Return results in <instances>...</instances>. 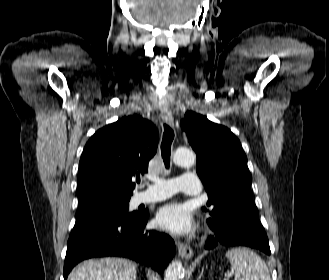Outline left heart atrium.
I'll use <instances>...</instances> for the list:
<instances>
[{"label": "left heart atrium", "instance_id": "obj_1", "mask_svg": "<svg viewBox=\"0 0 329 280\" xmlns=\"http://www.w3.org/2000/svg\"><path fill=\"white\" fill-rule=\"evenodd\" d=\"M159 227L176 234H188L193 227L190 213L178 203L163 206L157 213Z\"/></svg>", "mask_w": 329, "mask_h": 280}]
</instances>
